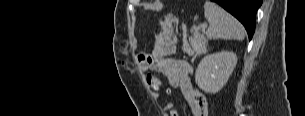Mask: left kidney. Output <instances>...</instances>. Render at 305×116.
Wrapping results in <instances>:
<instances>
[{"mask_svg": "<svg viewBox=\"0 0 305 116\" xmlns=\"http://www.w3.org/2000/svg\"><path fill=\"white\" fill-rule=\"evenodd\" d=\"M237 64L233 52L221 51L206 55L195 72V82L206 93L215 94L227 83Z\"/></svg>", "mask_w": 305, "mask_h": 116, "instance_id": "5707ae66", "label": "left kidney"}]
</instances>
